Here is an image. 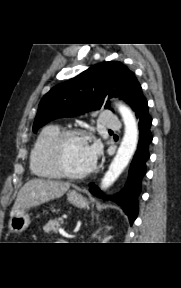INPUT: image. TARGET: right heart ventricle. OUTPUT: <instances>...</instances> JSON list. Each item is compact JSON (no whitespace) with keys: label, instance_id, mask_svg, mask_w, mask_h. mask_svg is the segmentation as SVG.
<instances>
[{"label":"right heart ventricle","instance_id":"e07e8e85","mask_svg":"<svg viewBox=\"0 0 181 288\" xmlns=\"http://www.w3.org/2000/svg\"><path fill=\"white\" fill-rule=\"evenodd\" d=\"M58 125L44 127L38 135L30 154V170L42 179H58L61 175L55 170L51 162V146L61 132Z\"/></svg>","mask_w":181,"mask_h":288}]
</instances>
